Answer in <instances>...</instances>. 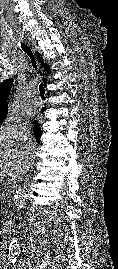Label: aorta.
<instances>
[{
    "mask_svg": "<svg viewBox=\"0 0 118 269\" xmlns=\"http://www.w3.org/2000/svg\"><path fill=\"white\" fill-rule=\"evenodd\" d=\"M14 204L17 209H22L27 202V193L24 189H17L14 193ZM19 250V242L16 236L12 237L10 244H9V251L11 252H18Z\"/></svg>",
    "mask_w": 118,
    "mask_h": 269,
    "instance_id": "1",
    "label": "aorta"
}]
</instances>
